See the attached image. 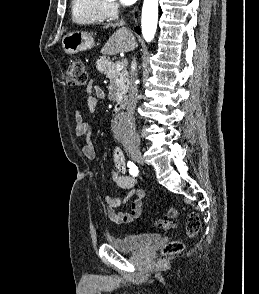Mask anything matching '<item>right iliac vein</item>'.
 I'll return each instance as SVG.
<instances>
[{"label": "right iliac vein", "mask_w": 259, "mask_h": 294, "mask_svg": "<svg viewBox=\"0 0 259 294\" xmlns=\"http://www.w3.org/2000/svg\"><path fill=\"white\" fill-rule=\"evenodd\" d=\"M129 153H130L132 159H133L136 163H138V164H140V165H143V163H144V159H143V156H142V154H141L139 148H137V147H135V148H131V149L129 150Z\"/></svg>", "instance_id": "63e3f726"}]
</instances>
